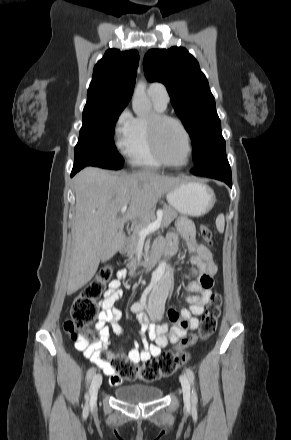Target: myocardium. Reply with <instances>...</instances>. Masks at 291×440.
I'll return each mask as SVG.
<instances>
[{
  "instance_id": "1",
  "label": "myocardium",
  "mask_w": 291,
  "mask_h": 440,
  "mask_svg": "<svg viewBox=\"0 0 291 440\" xmlns=\"http://www.w3.org/2000/svg\"><path fill=\"white\" fill-rule=\"evenodd\" d=\"M166 122L175 123L181 129V131L183 132V134L185 136L186 144H187V155H186L185 161L182 163L169 162L164 158V156L161 153L158 136H159L160 128ZM146 127H147V132H148V137H149V142H150L152 152H153L154 156L156 157V159L162 165H164L166 167H172V168H183L189 164L190 159L192 157V153H193L191 135H190L189 131L187 130L186 126L183 124V122L180 119H178L174 116H171V115H167L165 113L154 112L146 119Z\"/></svg>"
}]
</instances>
